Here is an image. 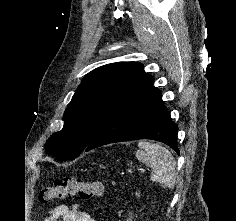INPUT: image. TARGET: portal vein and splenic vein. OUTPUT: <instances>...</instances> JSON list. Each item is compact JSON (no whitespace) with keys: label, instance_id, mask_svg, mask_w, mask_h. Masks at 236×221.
Here are the masks:
<instances>
[{"label":"portal vein and splenic vein","instance_id":"portal-vein-and-splenic-vein-1","mask_svg":"<svg viewBox=\"0 0 236 221\" xmlns=\"http://www.w3.org/2000/svg\"><path fill=\"white\" fill-rule=\"evenodd\" d=\"M140 171H141L142 173H144V172L146 171V169H145V168H141Z\"/></svg>","mask_w":236,"mask_h":221}]
</instances>
